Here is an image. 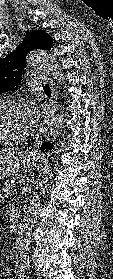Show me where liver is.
Listing matches in <instances>:
<instances>
[{
	"instance_id": "obj_1",
	"label": "liver",
	"mask_w": 113,
	"mask_h": 279,
	"mask_svg": "<svg viewBox=\"0 0 113 279\" xmlns=\"http://www.w3.org/2000/svg\"><path fill=\"white\" fill-rule=\"evenodd\" d=\"M13 151V149H11V150H2L1 152H9V153H11Z\"/></svg>"
}]
</instances>
